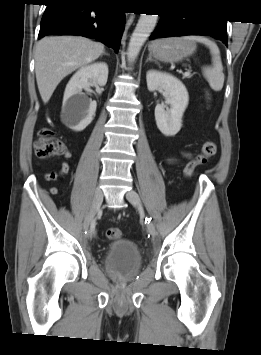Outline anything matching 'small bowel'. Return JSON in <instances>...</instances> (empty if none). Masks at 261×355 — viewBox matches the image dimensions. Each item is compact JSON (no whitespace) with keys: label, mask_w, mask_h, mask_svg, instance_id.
I'll use <instances>...</instances> for the list:
<instances>
[{"label":"small bowel","mask_w":261,"mask_h":355,"mask_svg":"<svg viewBox=\"0 0 261 355\" xmlns=\"http://www.w3.org/2000/svg\"><path fill=\"white\" fill-rule=\"evenodd\" d=\"M70 156H71V154L69 152H66L65 157L69 158ZM190 156H191V154H189V153L185 154V157H190ZM69 170H70L69 164L64 161V162L61 163V165H60V167H59V169L57 171L45 174V180L46 181H54L59 176L66 175L69 172ZM51 191L52 192H56L57 188L53 187V188H51Z\"/></svg>","instance_id":"c3829d8e"}]
</instances>
